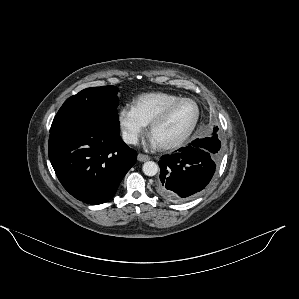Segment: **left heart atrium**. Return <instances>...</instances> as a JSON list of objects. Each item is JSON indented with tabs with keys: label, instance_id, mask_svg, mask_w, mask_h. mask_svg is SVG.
Instances as JSON below:
<instances>
[{
	"label": "left heart atrium",
	"instance_id": "1",
	"mask_svg": "<svg viewBox=\"0 0 299 299\" xmlns=\"http://www.w3.org/2000/svg\"><path fill=\"white\" fill-rule=\"evenodd\" d=\"M151 144L153 145V146H157L158 145V143L152 138L151 139Z\"/></svg>",
	"mask_w": 299,
	"mask_h": 299
}]
</instances>
